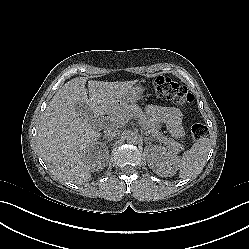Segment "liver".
I'll list each match as a JSON object with an SVG mask.
<instances>
[{
  "instance_id": "6515ba94",
  "label": "liver",
  "mask_w": 249,
  "mask_h": 249,
  "mask_svg": "<svg viewBox=\"0 0 249 249\" xmlns=\"http://www.w3.org/2000/svg\"><path fill=\"white\" fill-rule=\"evenodd\" d=\"M73 79L54 96L39 125L37 143L46 163L77 176L90 177L91 160L100 133L91 125L87 112L107 114L122 101L131 84L88 82ZM89 91V96L87 92Z\"/></svg>"
}]
</instances>
